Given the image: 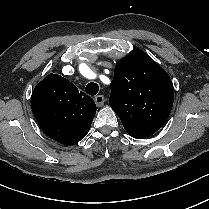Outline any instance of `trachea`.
Masks as SVG:
<instances>
[{
    "mask_svg": "<svg viewBox=\"0 0 209 209\" xmlns=\"http://www.w3.org/2000/svg\"><path fill=\"white\" fill-rule=\"evenodd\" d=\"M85 91L87 94L91 95V96H94L98 93L99 91V86L97 83H94V82H90L87 84L86 88H85Z\"/></svg>",
    "mask_w": 209,
    "mask_h": 209,
    "instance_id": "3493384b",
    "label": "trachea"
}]
</instances>
